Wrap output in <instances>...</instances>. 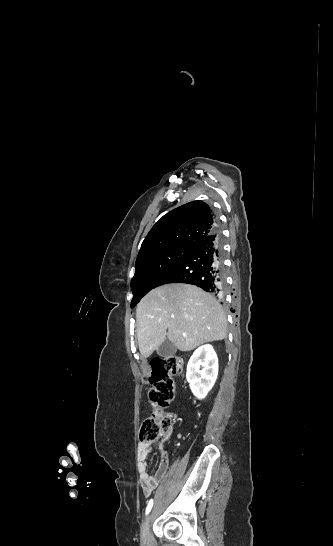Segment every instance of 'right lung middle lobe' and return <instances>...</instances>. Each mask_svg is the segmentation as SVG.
<instances>
[{
    "label": "right lung middle lobe",
    "mask_w": 333,
    "mask_h": 546,
    "mask_svg": "<svg viewBox=\"0 0 333 546\" xmlns=\"http://www.w3.org/2000/svg\"><path fill=\"white\" fill-rule=\"evenodd\" d=\"M192 247H172L136 263L135 275L131 280L134 307L140 299L155 288L162 277L184 259Z\"/></svg>",
    "instance_id": "obj_1"
}]
</instances>
